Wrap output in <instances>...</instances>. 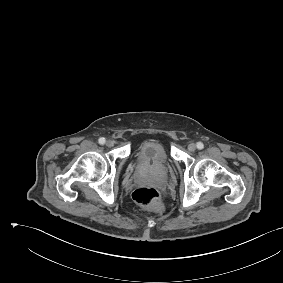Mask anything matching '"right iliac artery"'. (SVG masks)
Instances as JSON below:
<instances>
[{
	"label": "right iliac artery",
	"instance_id": "1",
	"mask_svg": "<svg viewBox=\"0 0 283 283\" xmlns=\"http://www.w3.org/2000/svg\"><path fill=\"white\" fill-rule=\"evenodd\" d=\"M98 142H99V144L103 145V144H105L106 140H105V138H102V137H101V138L98 140Z\"/></svg>",
	"mask_w": 283,
	"mask_h": 283
}]
</instances>
